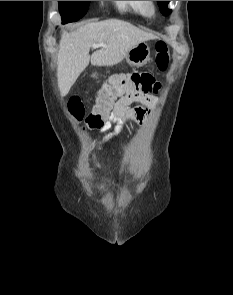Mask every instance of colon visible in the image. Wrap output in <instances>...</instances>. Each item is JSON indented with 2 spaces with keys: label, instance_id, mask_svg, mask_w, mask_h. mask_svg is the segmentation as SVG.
Listing matches in <instances>:
<instances>
[{
  "label": "colon",
  "instance_id": "1",
  "mask_svg": "<svg viewBox=\"0 0 233 295\" xmlns=\"http://www.w3.org/2000/svg\"><path fill=\"white\" fill-rule=\"evenodd\" d=\"M156 64L161 71H165L169 63L168 46L159 41L156 46ZM160 89V84L147 72H130L117 74L110 77L98 92L92 111L85 121L89 128H100L108 119L113 105L122 98H136L141 95L155 93ZM71 115L81 120L85 115L82 100L72 97L68 103Z\"/></svg>",
  "mask_w": 233,
  "mask_h": 295
}]
</instances>
